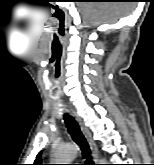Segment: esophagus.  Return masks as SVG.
I'll return each instance as SVG.
<instances>
[{
	"label": "esophagus",
	"instance_id": "esophagus-1",
	"mask_svg": "<svg viewBox=\"0 0 154 165\" xmlns=\"http://www.w3.org/2000/svg\"><path fill=\"white\" fill-rule=\"evenodd\" d=\"M73 114H74V117H75V119H76V121H77V123L81 129V132L83 133L84 137L86 138V140L89 144L93 159L95 161L98 158V147L92 138V134H91L90 130L88 129V127L82 121L81 117L74 111H73Z\"/></svg>",
	"mask_w": 154,
	"mask_h": 165
}]
</instances>
